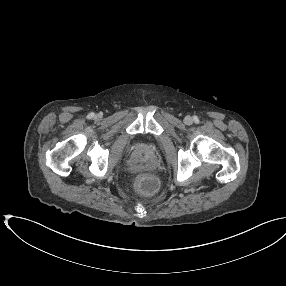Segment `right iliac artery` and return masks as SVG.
<instances>
[{
    "label": "right iliac artery",
    "mask_w": 286,
    "mask_h": 286,
    "mask_svg": "<svg viewBox=\"0 0 286 286\" xmlns=\"http://www.w3.org/2000/svg\"><path fill=\"white\" fill-rule=\"evenodd\" d=\"M88 117H89V118L94 117V113H90V114L88 115Z\"/></svg>",
    "instance_id": "82829eb1"
}]
</instances>
